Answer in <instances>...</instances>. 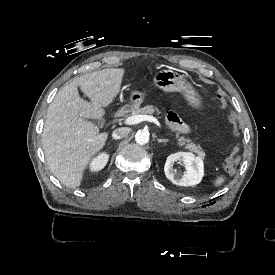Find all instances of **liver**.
<instances>
[{
	"label": "liver",
	"mask_w": 275,
	"mask_h": 275,
	"mask_svg": "<svg viewBox=\"0 0 275 275\" xmlns=\"http://www.w3.org/2000/svg\"><path fill=\"white\" fill-rule=\"evenodd\" d=\"M124 69H103L76 77L48 107L42 133L50 171L65 186H80L83 172L103 148L108 134L86 119H101L119 93ZM91 99L80 98L77 87Z\"/></svg>",
	"instance_id": "obj_1"
}]
</instances>
